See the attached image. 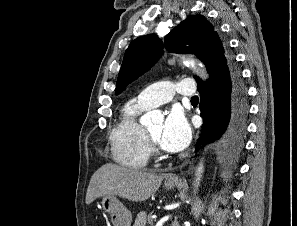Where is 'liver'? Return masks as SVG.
<instances>
[{
	"label": "liver",
	"instance_id": "6515ba94",
	"mask_svg": "<svg viewBox=\"0 0 297 226\" xmlns=\"http://www.w3.org/2000/svg\"><path fill=\"white\" fill-rule=\"evenodd\" d=\"M164 175H157L113 163L101 166L91 177L85 202L104 195H118L129 201L147 200L160 187Z\"/></svg>",
	"mask_w": 297,
	"mask_h": 226
}]
</instances>
